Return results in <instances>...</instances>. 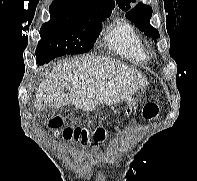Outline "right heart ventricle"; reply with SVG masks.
Segmentation results:
<instances>
[{"label": "right heart ventricle", "instance_id": "obj_1", "mask_svg": "<svg viewBox=\"0 0 197 181\" xmlns=\"http://www.w3.org/2000/svg\"><path fill=\"white\" fill-rule=\"evenodd\" d=\"M107 46L114 53L135 62L148 59V54L135 28L126 20L111 24L105 35Z\"/></svg>", "mask_w": 197, "mask_h": 181}]
</instances>
